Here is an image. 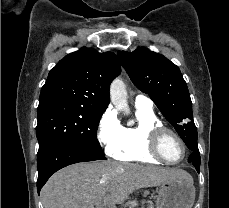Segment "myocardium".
<instances>
[{"instance_id": "myocardium-1", "label": "myocardium", "mask_w": 229, "mask_h": 208, "mask_svg": "<svg viewBox=\"0 0 229 208\" xmlns=\"http://www.w3.org/2000/svg\"><path fill=\"white\" fill-rule=\"evenodd\" d=\"M173 133L174 134V143H178V147H184L185 153L182 159L174 161V160H166V157H164V154L160 152V147H162V144L160 143V140L163 139L164 135L166 133ZM150 139H151V148H148V153H152V158H160L164 162L172 165L180 164L184 162L188 156L189 149L187 142L185 139L174 129L166 127V126H157L150 130Z\"/></svg>"}]
</instances>
